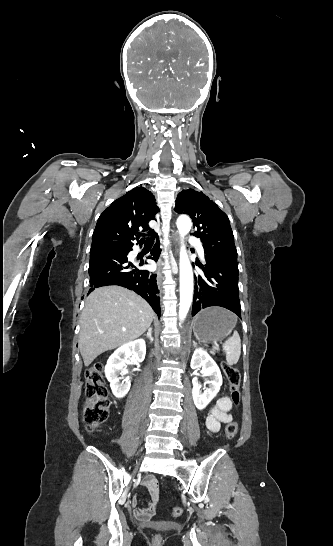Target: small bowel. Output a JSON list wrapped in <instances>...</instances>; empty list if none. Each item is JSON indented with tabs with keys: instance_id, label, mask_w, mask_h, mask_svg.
Segmentation results:
<instances>
[{
	"instance_id": "1",
	"label": "small bowel",
	"mask_w": 333,
	"mask_h": 546,
	"mask_svg": "<svg viewBox=\"0 0 333 546\" xmlns=\"http://www.w3.org/2000/svg\"><path fill=\"white\" fill-rule=\"evenodd\" d=\"M231 409L232 403L227 396H222L216 401L205 419V426L209 433H217L222 424L231 422ZM143 486L146 489L150 500L145 507H140L137 502H135L134 516L139 520L148 521L156 513V506L159 500V488L155 477L152 475L145 478Z\"/></svg>"
}]
</instances>
